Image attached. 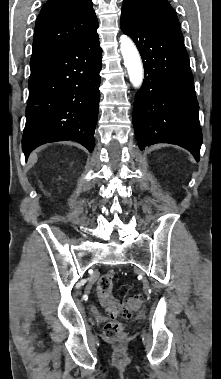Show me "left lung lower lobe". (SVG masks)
Segmentation results:
<instances>
[{"label":"left lung lower lobe","mask_w":221,"mask_h":379,"mask_svg":"<svg viewBox=\"0 0 221 379\" xmlns=\"http://www.w3.org/2000/svg\"><path fill=\"white\" fill-rule=\"evenodd\" d=\"M120 26L137 45L145 69L133 108L139 148L177 144L199 161V105L181 31L152 24L127 4L122 7Z\"/></svg>","instance_id":"0a47b994"}]
</instances>
